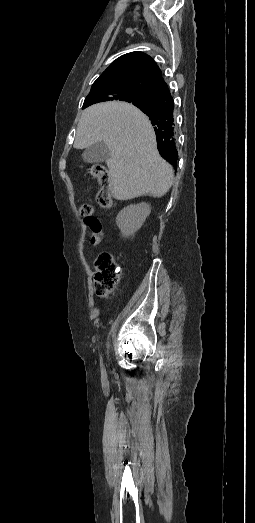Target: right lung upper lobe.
<instances>
[{
    "label": "right lung upper lobe",
    "mask_w": 255,
    "mask_h": 523,
    "mask_svg": "<svg viewBox=\"0 0 255 523\" xmlns=\"http://www.w3.org/2000/svg\"><path fill=\"white\" fill-rule=\"evenodd\" d=\"M127 89L147 93L148 100L132 102L151 120L161 156L176 168L177 149L174 139V102L155 61L142 52H131L116 59L93 83L83 108L109 101L106 97Z\"/></svg>",
    "instance_id": "obj_1"
}]
</instances>
